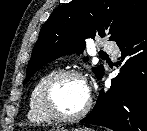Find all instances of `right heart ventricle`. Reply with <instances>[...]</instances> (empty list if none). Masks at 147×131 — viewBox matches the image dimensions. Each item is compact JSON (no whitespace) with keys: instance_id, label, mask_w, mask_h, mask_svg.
I'll list each match as a JSON object with an SVG mask.
<instances>
[{"instance_id":"obj_1","label":"right heart ventricle","mask_w":147,"mask_h":131,"mask_svg":"<svg viewBox=\"0 0 147 131\" xmlns=\"http://www.w3.org/2000/svg\"><path fill=\"white\" fill-rule=\"evenodd\" d=\"M58 71H59L58 69L48 70L42 76H40L33 85L28 99V112H27L28 119L31 122L36 124H44L51 121V119L43 112L40 106L39 94L44 82L50 76H52Z\"/></svg>"}]
</instances>
